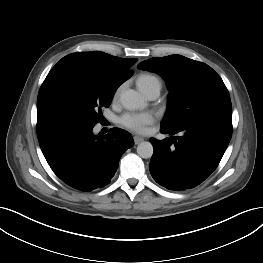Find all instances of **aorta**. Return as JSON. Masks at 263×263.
<instances>
[{
  "instance_id": "obj_1",
  "label": "aorta",
  "mask_w": 263,
  "mask_h": 263,
  "mask_svg": "<svg viewBox=\"0 0 263 263\" xmlns=\"http://www.w3.org/2000/svg\"><path fill=\"white\" fill-rule=\"evenodd\" d=\"M122 105L128 110H137L145 107L144 98L135 90L129 89L122 92L120 96ZM153 146L150 142L144 141L137 146V154L141 158H151L153 155Z\"/></svg>"
}]
</instances>
